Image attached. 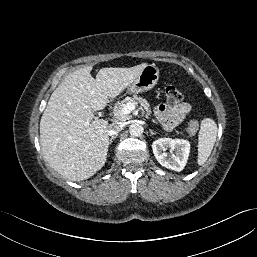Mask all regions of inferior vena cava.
Returning a JSON list of instances; mask_svg holds the SVG:
<instances>
[{"mask_svg": "<svg viewBox=\"0 0 257 257\" xmlns=\"http://www.w3.org/2000/svg\"><path fill=\"white\" fill-rule=\"evenodd\" d=\"M123 128L121 122H113L108 126V135L113 136L117 135Z\"/></svg>", "mask_w": 257, "mask_h": 257, "instance_id": "602c4592", "label": "inferior vena cava"}]
</instances>
